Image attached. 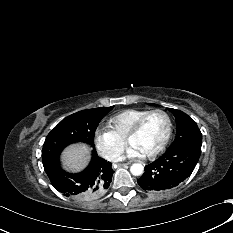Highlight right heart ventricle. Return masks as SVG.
Returning <instances> with one entry per match:
<instances>
[{
    "mask_svg": "<svg viewBox=\"0 0 233 233\" xmlns=\"http://www.w3.org/2000/svg\"><path fill=\"white\" fill-rule=\"evenodd\" d=\"M147 109H127L112 116L108 121V127L118 138L125 137L136 121L144 115Z\"/></svg>",
    "mask_w": 233,
    "mask_h": 233,
    "instance_id": "e07e8e85",
    "label": "right heart ventricle"
}]
</instances>
